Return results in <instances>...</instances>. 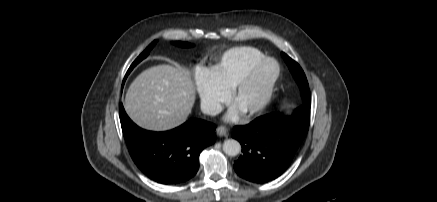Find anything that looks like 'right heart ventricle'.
I'll use <instances>...</instances> for the list:
<instances>
[{"mask_svg": "<svg viewBox=\"0 0 437 202\" xmlns=\"http://www.w3.org/2000/svg\"><path fill=\"white\" fill-rule=\"evenodd\" d=\"M263 58L265 55L254 47H234L221 56L212 72L218 81L231 91L250 66Z\"/></svg>", "mask_w": 437, "mask_h": 202, "instance_id": "1", "label": "right heart ventricle"}]
</instances>
